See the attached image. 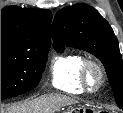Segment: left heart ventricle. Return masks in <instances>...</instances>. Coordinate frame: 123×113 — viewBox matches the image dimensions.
<instances>
[{"label": "left heart ventricle", "instance_id": "obj_1", "mask_svg": "<svg viewBox=\"0 0 123 113\" xmlns=\"http://www.w3.org/2000/svg\"><path fill=\"white\" fill-rule=\"evenodd\" d=\"M97 80H98L97 75L95 73H92V75H91V83H92L93 86L96 85Z\"/></svg>", "mask_w": 123, "mask_h": 113}]
</instances>
